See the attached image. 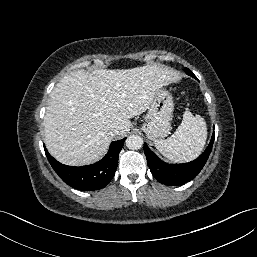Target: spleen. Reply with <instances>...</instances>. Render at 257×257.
Segmentation results:
<instances>
[{"instance_id": "spleen-1", "label": "spleen", "mask_w": 257, "mask_h": 257, "mask_svg": "<svg viewBox=\"0 0 257 257\" xmlns=\"http://www.w3.org/2000/svg\"><path fill=\"white\" fill-rule=\"evenodd\" d=\"M207 139L206 122L200 115L186 111L176 132L165 140H155L157 150L173 162L195 159L203 150Z\"/></svg>"}]
</instances>
